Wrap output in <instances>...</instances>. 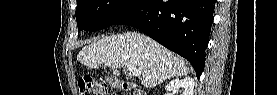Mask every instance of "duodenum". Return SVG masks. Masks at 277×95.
I'll return each mask as SVG.
<instances>
[{
    "label": "duodenum",
    "instance_id": "duodenum-1",
    "mask_svg": "<svg viewBox=\"0 0 277 95\" xmlns=\"http://www.w3.org/2000/svg\"><path fill=\"white\" fill-rule=\"evenodd\" d=\"M123 88L126 90H132L133 86L129 83H123Z\"/></svg>",
    "mask_w": 277,
    "mask_h": 95
}]
</instances>
